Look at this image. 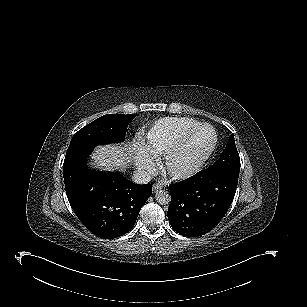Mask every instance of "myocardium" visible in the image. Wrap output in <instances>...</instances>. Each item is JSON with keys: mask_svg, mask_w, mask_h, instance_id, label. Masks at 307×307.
<instances>
[{"mask_svg": "<svg viewBox=\"0 0 307 307\" xmlns=\"http://www.w3.org/2000/svg\"><path fill=\"white\" fill-rule=\"evenodd\" d=\"M202 128H193L189 133H187L185 136H183L179 142L163 157L162 161L160 162V167L162 170L166 173H168L171 177L174 179H183L191 174H193L195 171H197L202 164L207 159V155H205L203 158L198 160L191 168L185 169V170H172L170 168V160L177 154V152L180 150V148L190 143L195 135L201 130Z\"/></svg>", "mask_w": 307, "mask_h": 307, "instance_id": "myocardium-1", "label": "myocardium"}]
</instances>
